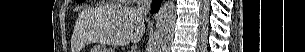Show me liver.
<instances>
[{
	"label": "liver",
	"instance_id": "liver-1",
	"mask_svg": "<svg viewBox=\"0 0 305 52\" xmlns=\"http://www.w3.org/2000/svg\"><path fill=\"white\" fill-rule=\"evenodd\" d=\"M81 20L88 41L107 45L136 43L145 31L143 14L123 5L92 8L81 15Z\"/></svg>",
	"mask_w": 305,
	"mask_h": 52
}]
</instances>
